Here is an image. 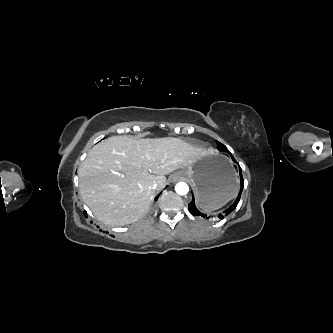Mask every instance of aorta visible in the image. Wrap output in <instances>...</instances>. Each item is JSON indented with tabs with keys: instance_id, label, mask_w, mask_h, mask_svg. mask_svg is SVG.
<instances>
[{
	"instance_id": "obj_1",
	"label": "aorta",
	"mask_w": 333,
	"mask_h": 333,
	"mask_svg": "<svg viewBox=\"0 0 333 333\" xmlns=\"http://www.w3.org/2000/svg\"><path fill=\"white\" fill-rule=\"evenodd\" d=\"M175 191L179 195H186L189 191V187L185 182H179L175 185Z\"/></svg>"
}]
</instances>
